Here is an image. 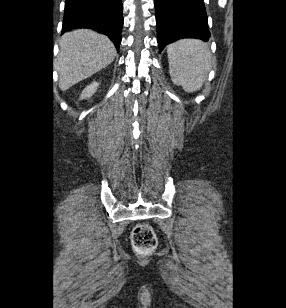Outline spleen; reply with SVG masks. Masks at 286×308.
<instances>
[{
    "label": "spleen",
    "mask_w": 286,
    "mask_h": 308,
    "mask_svg": "<svg viewBox=\"0 0 286 308\" xmlns=\"http://www.w3.org/2000/svg\"><path fill=\"white\" fill-rule=\"evenodd\" d=\"M172 81L192 93L199 90L211 69V52L197 39H182L167 47Z\"/></svg>",
    "instance_id": "obj_1"
}]
</instances>
